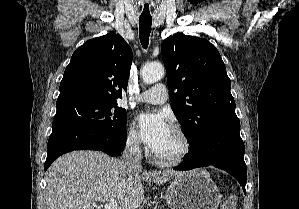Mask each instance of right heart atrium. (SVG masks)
<instances>
[{
    "mask_svg": "<svg viewBox=\"0 0 299 209\" xmlns=\"http://www.w3.org/2000/svg\"><path fill=\"white\" fill-rule=\"evenodd\" d=\"M126 144L133 151H139L141 148L140 138L137 132L132 128L127 132Z\"/></svg>",
    "mask_w": 299,
    "mask_h": 209,
    "instance_id": "d8ad5b80",
    "label": "right heart atrium"
}]
</instances>
